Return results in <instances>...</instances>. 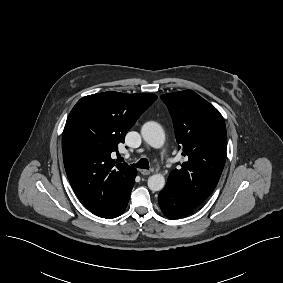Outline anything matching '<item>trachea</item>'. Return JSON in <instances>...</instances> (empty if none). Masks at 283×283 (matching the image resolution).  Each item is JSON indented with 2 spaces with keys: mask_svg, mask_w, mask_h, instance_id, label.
Segmentation results:
<instances>
[{
  "mask_svg": "<svg viewBox=\"0 0 283 283\" xmlns=\"http://www.w3.org/2000/svg\"><path fill=\"white\" fill-rule=\"evenodd\" d=\"M133 166L142 169H149V162L146 158H142L137 163L133 164Z\"/></svg>",
  "mask_w": 283,
  "mask_h": 283,
  "instance_id": "1",
  "label": "trachea"
}]
</instances>
